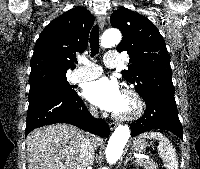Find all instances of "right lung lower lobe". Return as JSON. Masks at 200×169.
<instances>
[{"label":"right lung lower lobe","instance_id":"right-lung-lower-lobe-1","mask_svg":"<svg viewBox=\"0 0 200 169\" xmlns=\"http://www.w3.org/2000/svg\"><path fill=\"white\" fill-rule=\"evenodd\" d=\"M26 120V136L35 128L55 123H69L101 137L110 134L107 123L93 118L76 92L68 96L56 94L29 101Z\"/></svg>","mask_w":200,"mask_h":169}]
</instances>
